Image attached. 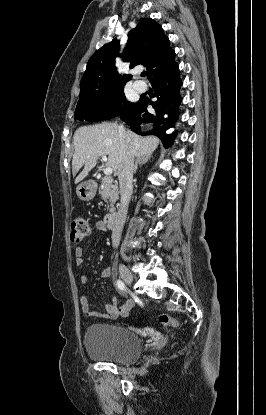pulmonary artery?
I'll use <instances>...</instances> for the list:
<instances>
[{"instance_id": "pulmonary-artery-1", "label": "pulmonary artery", "mask_w": 266, "mask_h": 415, "mask_svg": "<svg viewBox=\"0 0 266 415\" xmlns=\"http://www.w3.org/2000/svg\"><path fill=\"white\" fill-rule=\"evenodd\" d=\"M134 87H135V89H137L140 92H144L147 89L146 83L141 81V80H136L134 82Z\"/></svg>"}]
</instances>
